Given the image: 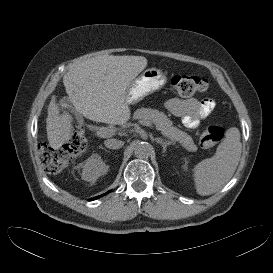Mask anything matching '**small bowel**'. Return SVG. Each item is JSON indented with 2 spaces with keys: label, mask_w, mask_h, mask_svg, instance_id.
Returning <instances> with one entry per match:
<instances>
[{
  "label": "small bowel",
  "mask_w": 273,
  "mask_h": 273,
  "mask_svg": "<svg viewBox=\"0 0 273 273\" xmlns=\"http://www.w3.org/2000/svg\"><path fill=\"white\" fill-rule=\"evenodd\" d=\"M165 108L182 119L185 127L196 129L201 121L208 118L215 108L213 99H178L171 98L165 101Z\"/></svg>",
  "instance_id": "c3829d8e"
}]
</instances>
